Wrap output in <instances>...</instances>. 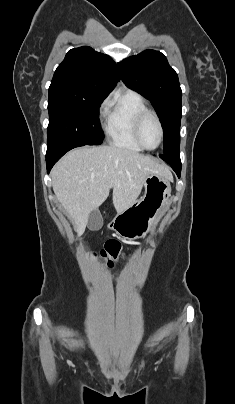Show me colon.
Masks as SVG:
<instances>
[{
    "instance_id": "obj_1",
    "label": "colon",
    "mask_w": 235,
    "mask_h": 404,
    "mask_svg": "<svg viewBox=\"0 0 235 404\" xmlns=\"http://www.w3.org/2000/svg\"><path fill=\"white\" fill-rule=\"evenodd\" d=\"M124 254L123 246L118 240H109L103 248L91 252L90 258L99 262L102 267H111L114 261Z\"/></svg>"
}]
</instances>
